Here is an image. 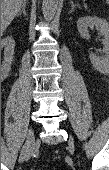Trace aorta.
Listing matches in <instances>:
<instances>
[{
    "instance_id": "aorta-1",
    "label": "aorta",
    "mask_w": 109,
    "mask_h": 170,
    "mask_svg": "<svg viewBox=\"0 0 109 170\" xmlns=\"http://www.w3.org/2000/svg\"><path fill=\"white\" fill-rule=\"evenodd\" d=\"M59 0H43L42 11L44 18L52 20L56 14Z\"/></svg>"
}]
</instances>
